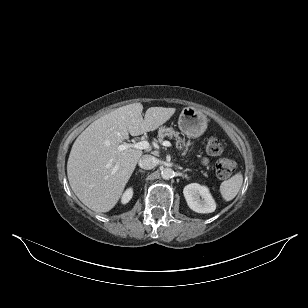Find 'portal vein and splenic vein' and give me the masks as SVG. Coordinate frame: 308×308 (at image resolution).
Returning a JSON list of instances; mask_svg holds the SVG:
<instances>
[{
	"label": "portal vein and splenic vein",
	"instance_id": "obj_1",
	"mask_svg": "<svg viewBox=\"0 0 308 308\" xmlns=\"http://www.w3.org/2000/svg\"><path fill=\"white\" fill-rule=\"evenodd\" d=\"M117 135L121 136L120 133H117ZM163 146L171 147L172 144L169 141H164ZM129 148H135V149H140V150H151L152 149L148 141H140L137 143H123L118 146V151L121 152Z\"/></svg>",
	"mask_w": 308,
	"mask_h": 308
}]
</instances>
